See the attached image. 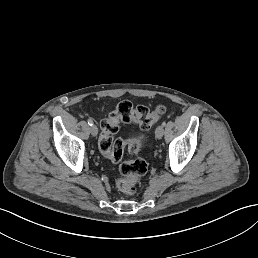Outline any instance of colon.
<instances>
[{
	"mask_svg": "<svg viewBox=\"0 0 258 258\" xmlns=\"http://www.w3.org/2000/svg\"><path fill=\"white\" fill-rule=\"evenodd\" d=\"M166 113L164 105H157L153 110L146 106L134 107L129 101L120 102L115 110L101 121L99 149L112 162H119L125 150L134 157L120 164L115 183L119 191L124 194H134L137 191V181L147 172V163L138 157L140 141L133 138L127 142L115 139L114 135L119 130V124L136 123L142 130H148Z\"/></svg>",
	"mask_w": 258,
	"mask_h": 258,
	"instance_id": "obj_1",
	"label": "colon"
}]
</instances>
